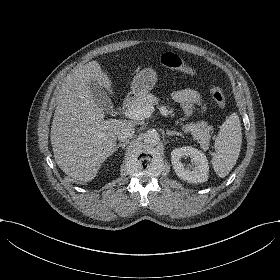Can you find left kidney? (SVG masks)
I'll return each instance as SVG.
<instances>
[{
    "instance_id": "left-kidney-1",
    "label": "left kidney",
    "mask_w": 280,
    "mask_h": 280,
    "mask_svg": "<svg viewBox=\"0 0 280 280\" xmlns=\"http://www.w3.org/2000/svg\"><path fill=\"white\" fill-rule=\"evenodd\" d=\"M190 158V163L182 159ZM171 162L178 177L189 183H203L208 180L209 166L205 154L191 146L176 148L171 152Z\"/></svg>"
}]
</instances>
